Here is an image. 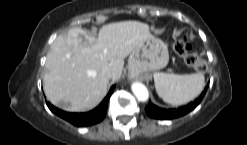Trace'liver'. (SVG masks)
<instances>
[{
	"instance_id": "6515ba94",
	"label": "liver",
	"mask_w": 247,
	"mask_h": 145,
	"mask_svg": "<svg viewBox=\"0 0 247 145\" xmlns=\"http://www.w3.org/2000/svg\"><path fill=\"white\" fill-rule=\"evenodd\" d=\"M151 37L149 26L139 21L107 24L97 38L81 28L69 29L54 40L46 58L47 99L70 112L93 109L107 94L109 79L102 69L109 68L112 80H119L124 59Z\"/></svg>"
}]
</instances>
